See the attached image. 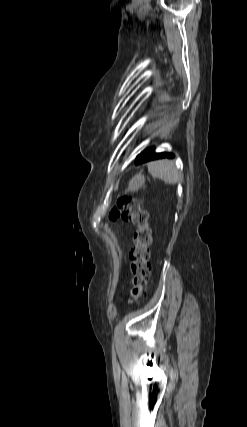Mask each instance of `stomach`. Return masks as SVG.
<instances>
[{
    "label": "stomach",
    "instance_id": "stomach-1",
    "mask_svg": "<svg viewBox=\"0 0 247 427\" xmlns=\"http://www.w3.org/2000/svg\"><path fill=\"white\" fill-rule=\"evenodd\" d=\"M145 183V178L141 174L135 175L128 184L127 191L129 192H135L138 191L139 188H141Z\"/></svg>",
    "mask_w": 247,
    "mask_h": 427
}]
</instances>
